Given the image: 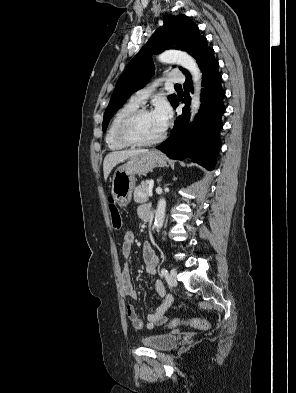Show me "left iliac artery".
<instances>
[{"mask_svg": "<svg viewBox=\"0 0 296 393\" xmlns=\"http://www.w3.org/2000/svg\"><path fill=\"white\" fill-rule=\"evenodd\" d=\"M161 275H162L163 277H165V278L168 277V271H167L166 268H162V270H161Z\"/></svg>", "mask_w": 296, "mask_h": 393, "instance_id": "44dca946", "label": "left iliac artery"}]
</instances>
